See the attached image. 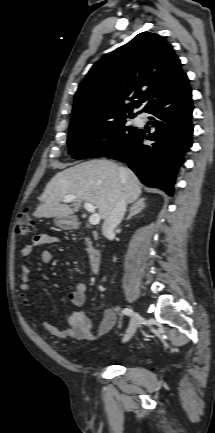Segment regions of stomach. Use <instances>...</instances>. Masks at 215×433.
I'll return each instance as SVG.
<instances>
[{
    "label": "stomach",
    "mask_w": 215,
    "mask_h": 433,
    "mask_svg": "<svg viewBox=\"0 0 215 433\" xmlns=\"http://www.w3.org/2000/svg\"><path fill=\"white\" fill-rule=\"evenodd\" d=\"M54 224L64 230L74 228L76 219L74 217H55Z\"/></svg>",
    "instance_id": "0dacf381"
}]
</instances>
